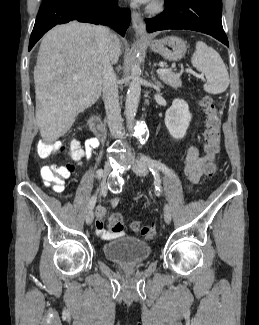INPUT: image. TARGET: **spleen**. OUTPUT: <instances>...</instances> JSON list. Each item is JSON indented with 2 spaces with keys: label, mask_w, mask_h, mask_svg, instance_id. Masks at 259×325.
<instances>
[{
  "label": "spleen",
  "mask_w": 259,
  "mask_h": 325,
  "mask_svg": "<svg viewBox=\"0 0 259 325\" xmlns=\"http://www.w3.org/2000/svg\"><path fill=\"white\" fill-rule=\"evenodd\" d=\"M192 65L206 77L203 88L207 93L220 94L229 86V74L219 53L204 42H196Z\"/></svg>",
  "instance_id": "1"
}]
</instances>
